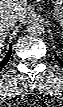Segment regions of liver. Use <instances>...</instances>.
<instances>
[{
    "instance_id": "liver-1",
    "label": "liver",
    "mask_w": 63,
    "mask_h": 107,
    "mask_svg": "<svg viewBox=\"0 0 63 107\" xmlns=\"http://www.w3.org/2000/svg\"><path fill=\"white\" fill-rule=\"evenodd\" d=\"M26 5L27 0H0V15L1 14H13L19 21H23L26 18ZM5 39V33L0 29V42L1 46Z\"/></svg>"
}]
</instances>
